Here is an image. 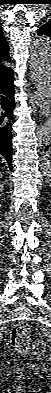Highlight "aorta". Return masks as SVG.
<instances>
[{
    "label": "aorta",
    "mask_w": 51,
    "mask_h": 393,
    "mask_svg": "<svg viewBox=\"0 0 51 393\" xmlns=\"http://www.w3.org/2000/svg\"><path fill=\"white\" fill-rule=\"evenodd\" d=\"M31 79L43 98L49 99L51 93V41L48 37L37 38L31 49ZM39 139L43 143L51 140V122L48 120L40 129Z\"/></svg>",
    "instance_id": "762f6f07"
}]
</instances>
